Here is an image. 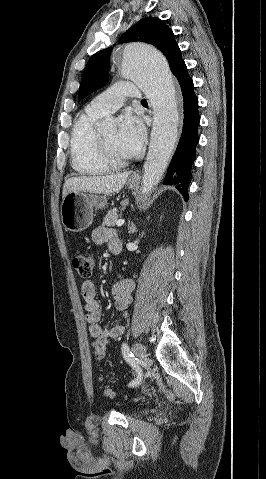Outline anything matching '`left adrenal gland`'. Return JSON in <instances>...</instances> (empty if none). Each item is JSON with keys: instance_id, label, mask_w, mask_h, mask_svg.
Listing matches in <instances>:
<instances>
[{"instance_id": "a2214340", "label": "left adrenal gland", "mask_w": 266, "mask_h": 479, "mask_svg": "<svg viewBox=\"0 0 266 479\" xmlns=\"http://www.w3.org/2000/svg\"><path fill=\"white\" fill-rule=\"evenodd\" d=\"M135 232H136V226L134 225L133 222H131V227H130L129 233L134 234Z\"/></svg>"}]
</instances>
